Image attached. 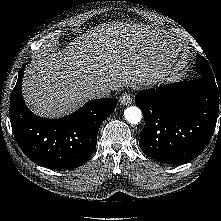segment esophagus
I'll return each mask as SVG.
<instances>
[{
    "mask_svg": "<svg viewBox=\"0 0 221 221\" xmlns=\"http://www.w3.org/2000/svg\"><path fill=\"white\" fill-rule=\"evenodd\" d=\"M120 104L124 106H128L132 103V97L128 93H123L119 98Z\"/></svg>",
    "mask_w": 221,
    "mask_h": 221,
    "instance_id": "obj_1",
    "label": "esophagus"
}]
</instances>
